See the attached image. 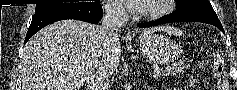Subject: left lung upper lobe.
Segmentation results:
<instances>
[{"label":"left lung upper lobe","instance_id":"1","mask_svg":"<svg viewBox=\"0 0 237 90\" xmlns=\"http://www.w3.org/2000/svg\"><path fill=\"white\" fill-rule=\"evenodd\" d=\"M175 13L189 14L211 20H219L208 0H176Z\"/></svg>","mask_w":237,"mask_h":90}]
</instances>
